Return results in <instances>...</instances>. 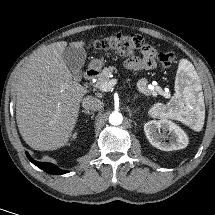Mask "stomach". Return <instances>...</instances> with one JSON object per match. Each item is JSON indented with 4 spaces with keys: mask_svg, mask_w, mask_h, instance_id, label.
Instances as JSON below:
<instances>
[{
    "mask_svg": "<svg viewBox=\"0 0 215 215\" xmlns=\"http://www.w3.org/2000/svg\"><path fill=\"white\" fill-rule=\"evenodd\" d=\"M102 66H103V61H102V60L94 59V60H92V62H91V67H92V68H97V69H99V68H101Z\"/></svg>",
    "mask_w": 215,
    "mask_h": 215,
    "instance_id": "stomach-1",
    "label": "stomach"
}]
</instances>
